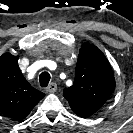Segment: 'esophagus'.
<instances>
[{
  "instance_id": "1",
  "label": "esophagus",
  "mask_w": 133,
  "mask_h": 133,
  "mask_svg": "<svg viewBox=\"0 0 133 133\" xmlns=\"http://www.w3.org/2000/svg\"><path fill=\"white\" fill-rule=\"evenodd\" d=\"M46 91H47L48 93H54V92H56V91H57V84L54 83V82L50 83V84L48 85V87L46 88Z\"/></svg>"
}]
</instances>
